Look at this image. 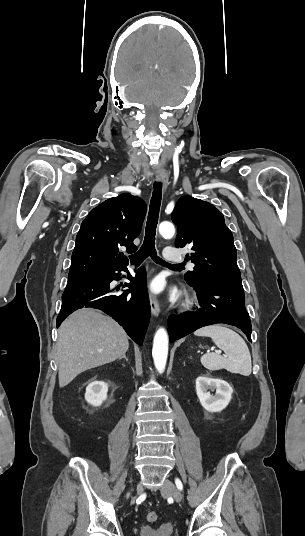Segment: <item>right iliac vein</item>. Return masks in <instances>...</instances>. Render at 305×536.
<instances>
[{"label": "right iliac vein", "instance_id": "1", "mask_svg": "<svg viewBox=\"0 0 305 536\" xmlns=\"http://www.w3.org/2000/svg\"><path fill=\"white\" fill-rule=\"evenodd\" d=\"M136 492H137V494H140V493L142 492V486H141L140 483H138V484L136 485Z\"/></svg>", "mask_w": 305, "mask_h": 536}]
</instances>
